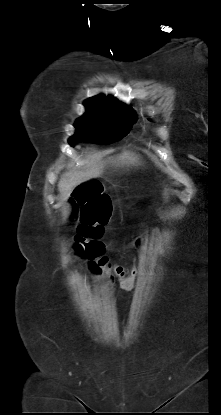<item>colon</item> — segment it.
<instances>
[{
    "instance_id": "5ec220e1",
    "label": "colon",
    "mask_w": 221,
    "mask_h": 415,
    "mask_svg": "<svg viewBox=\"0 0 221 415\" xmlns=\"http://www.w3.org/2000/svg\"><path fill=\"white\" fill-rule=\"evenodd\" d=\"M74 216L79 217L80 223L75 237V250L81 256L94 259L98 257L100 272L108 274L110 283H118V289L123 294H130L136 288L135 282L140 273L136 263L130 264V272L123 262L111 263L109 257L102 255L103 244L99 241L104 233V226L110 217V201L102 194L100 188L95 184H89L79 189L72 199ZM140 246L141 242L138 241ZM93 269L97 265L93 263Z\"/></svg>"
}]
</instances>
